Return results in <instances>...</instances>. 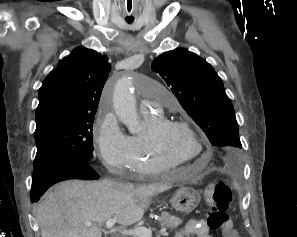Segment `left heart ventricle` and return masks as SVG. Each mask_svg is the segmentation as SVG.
I'll return each mask as SVG.
<instances>
[{
  "label": "left heart ventricle",
  "mask_w": 297,
  "mask_h": 237,
  "mask_svg": "<svg viewBox=\"0 0 297 237\" xmlns=\"http://www.w3.org/2000/svg\"><path fill=\"white\" fill-rule=\"evenodd\" d=\"M163 142L169 151L181 158H196L200 150L196 139L184 128L167 130Z\"/></svg>",
  "instance_id": "obj_1"
}]
</instances>
